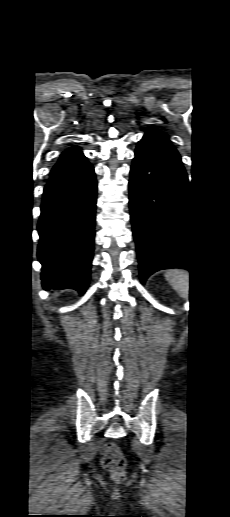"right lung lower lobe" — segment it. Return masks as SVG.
Returning <instances> with one entry per match:
<instances>
[{"instance_id":"obj_1","label":"right lung lower lobe","mask_w":230,"mask_h":517,"mask_svg":"<svg viewBox=\"0 0 230 517\" xmlns=\"http://www.w3.org/2000/svg\"><path fill=\"white\" fill-rule=\"evenodd\" d=\"M97 182L94 168L49 179L38 223V260L45 289L72 288L84 294L93 256Z\"/></svg>"}]
</instances>
